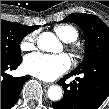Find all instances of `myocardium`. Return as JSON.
Instances as JSON below:
<instances>
[{
    "mask_svg": "<svg viewBox=\"0 0 109 109\" xmlns=\"http://www.w3.org/2000/svg\"><path fill=\"white\" fill-rule=\"evenodd\" d=\"M72 56L75 62H78L82 58V52L78 47L73 46L72 47Z\"/></svg>",
    "mask_w": 109,
    "mask_h": 109,
    "instance_id": "f54148a6",
    "label": "myocardium"
}]
</instances>
